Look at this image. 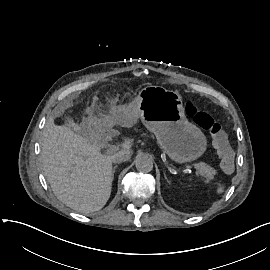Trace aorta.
Instances as JSON below:
<instances>
[{
	"instance_id": "1",
	"label": "aorta",
	"mask_w": 270,
	"mask_h": 270,
	"mask_svg": "<svg viewBox=\"0 0 270 270\" xmlns=\"http://www.w3.org/2000/svg\"><path fill=\"white\" fill-rule=\"evenodd\" d=\"M136 169L141 173H148L153 169V161L146 155H139L136 158Z\"/></svg>"
}]
</instances>
